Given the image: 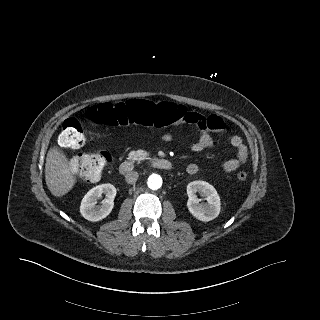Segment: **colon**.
Wrapping results in <instances>:
<instances>
[{"mask_svg":"<svg viewBox=\"0 0 320 320\" xmlns=\"http://www.w3.org/2000/svg\"><path fill=\"white\" fill-rule=\"evenodd\" d=\"M90 121L109 126L141 124L144 126L163 127L178 121L182 117L180 106L161 102L155 104L143 99H130L126 102L112 104L100 103L87 110ZM83 122L79 118L64 121L59 135V143L65 148H79L84 144ZM110 162L107 152L80 153L72 160L75 172L88 181L98 180ZM246 172H239L237 179L245 181Z\"/></svg>","mask_w":320,"mask_h":320,"instance_id":"1","label":"colon"}]
</instances>
